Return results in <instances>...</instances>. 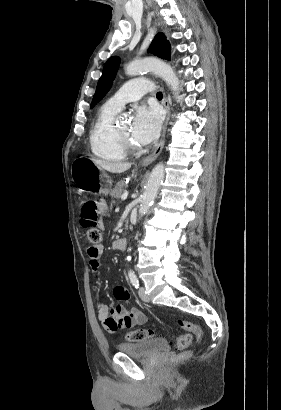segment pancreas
Wrapping results in <instances>:
<instances>
[{"label":"pancreas","instance_id":"1","mask_svg":"<svg viewBox=\"0 0 281 410\" xmlns=\"http://www.w3.org/2000/svg\"><path fill=\"white\" fill-rule=\"evenodd\" d=\"M127 185L124 181L118 182L115 187L110 191V195L112 198L118 199L122 196L123 192L125 191Z\"/></svg>","mask_w":281,"mask_h":410}]
</instances>
